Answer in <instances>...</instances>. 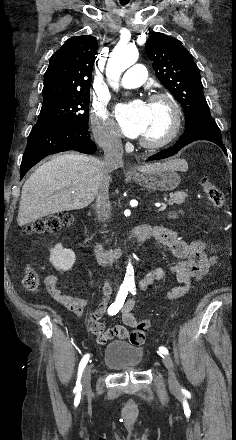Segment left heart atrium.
Wrapping results in <instances>:
<instances>
[{"instance_id": "1", "label": "left heart atrium", "mask_w": 236, "mask_h": 440, "mask_svg": "<svg viewBox=\"0 0 236 440\" xmlns=\"http://www.w3.org/2000/svg\"><path fill=\"white\" fill-rule=\"evenodd\" d=\"M116 115L125 136L136 138L142 135L148 120V105L141 100L119 105Z\"/></svg>"}]
</instances>
